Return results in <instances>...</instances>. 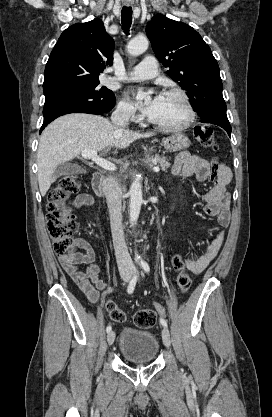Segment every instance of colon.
Returning <instances> with one entry per match:
<instances>
[{
  "mask_svg": "<svg viewBox=\"0 0 272 417\" xmlns=\"http://www.w3.org/2000/svg\"><path fill=\"white\" fill-rule=\"evenodd\" d=\"M194 137L202 145L216 149L213 129L208 125H198L194 128ZM220 165L216 159L212 160L213 177L217 175ZM80 188V181L75 175H66L50 189L48 193L46 225L47 230L54 241L55 252L72 261L74 253V235L78 230L75 216L66 207L67 199ZM173 266L178 271L177 284L181 292H187L192 284L191 276L186 271L184 262L179 255L173 258ZM156 310L161 315L165 314V309L159 303H155ZM106 309L112 320L123 322L125 313L117 308L113 301L106 303ZM158 311V310H157ZM156 313L151 309L138 310L133 315V323L136 327L148 329L154 326Z\"/></svg>",
  "mask_w": 272,
  "mask_h": 417,
  "instance_id": "1",
  "label": "colon"
}]
</instances>
